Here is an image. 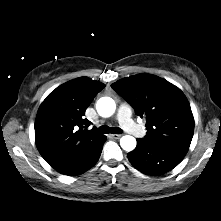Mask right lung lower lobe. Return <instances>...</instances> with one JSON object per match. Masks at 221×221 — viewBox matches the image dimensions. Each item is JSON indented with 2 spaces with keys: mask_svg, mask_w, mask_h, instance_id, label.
I'll return each instance as SVG.
<instances>
[{
  "mask_svg": "<svg viewBox=\"0 0 221 221\" xmlns=\"http://www.w3.org/2000/svg\"><path fill=\"white\" fill-rule=\"evenodd\" d=\"M105 141H106V138H105L104 142ZM104 142H103V144H104ZM103 144H102V146H103ZM102 146L100 147V149L96 152V154L90 160L85 162L83 165H81L79 168H77L73 173H71L69 175L76 176V175L84 173L85 171H87L88 169L93 167L100 157V154L102 151Z\"/></svg>",
  "mask_w": 221,
  "mask_h": 221,
  "instance_id": "obj_1",
  "label": "right lung lower lobe"
}]
</instances>
